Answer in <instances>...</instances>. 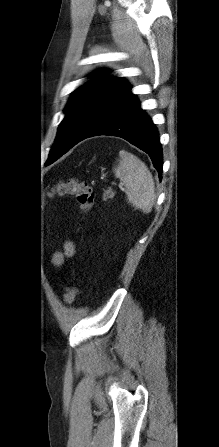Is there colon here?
Masks as SVG:
<instances>
[{"label":"colon","mask_w":219,"mask_h":447,"mask_svg":"<svg viewBox=\"0 0 219 447\" xmlns=\"http://www.w3.org/2000/svg\"><path fill=\"white\" fill-rule=\"evenodd\" d=\"M49 195L54 196H73L76 198L81 210L89 212L94 204V193L92 187L86 182L79 181L76 178L61 180L56 183ZM78 289L75 286L65 288L64 302L71 305L76 300Z\"/></svg>","instance_id":"obj_1"}]
</instances>
